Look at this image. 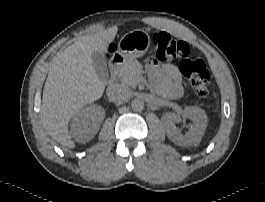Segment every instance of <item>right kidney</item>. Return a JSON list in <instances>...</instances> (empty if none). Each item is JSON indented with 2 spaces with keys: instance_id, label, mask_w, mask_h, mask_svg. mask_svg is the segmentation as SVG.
<instances>
[{
  "instance_id": "1",
  "label": "right kidney",
  "mask_w": 265,
  "mask_h": 202,
  "mask_svg": "<svg viewBox=\"0 0 265 202\" xmlns=\"http://www.w3.org/2000/svg\"><path fill=\"white\" fill-rule=\"evenodd\" d=\"M105 117V110L98 105H91L78 110L71 121L72 137L80 143L90 141L99 131Z\"/></svg>"
}]
</instances>
